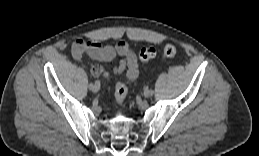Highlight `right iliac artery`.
I'll return each mask as SVG.
<instances>
[{"mask_svg":"<svg viewBox=\"0 0 259 156\" xmlns=\"http://www.w3.org/2000/svg\"><path fill=\"white\" fill-rule=\"evenodd\" d=\"M87 87H88V89H91L92 88V83L91 82H87Z\"/></svg>","mask_w":259,"mask_h":156,"instance_id":"obj_1","label":"right iliac artery"}]
</instances>
